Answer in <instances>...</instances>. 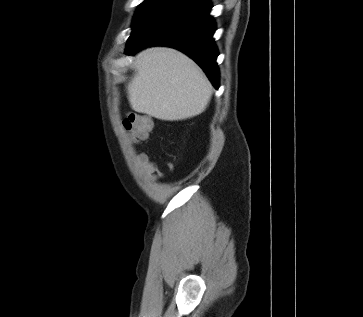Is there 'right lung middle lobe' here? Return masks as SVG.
I'll list each match as a JSON object with an SVG mask.
<instances>
[{
    "mask_svg": "<svg viewBox=\"0 0 363 317\" xmlns=\"http://www.w3.org/2000/svg\"><path fill=\"white\" fill-rule=\"evenodd\" d=\"M184 0H146L140 4L133 21L128 42L134 41L158 17Z\"/></svg>",
    "mask_w": 363,
    "mask_h": 317,
    "instance_id": "right-lung-middle-lobe-1",
    "label": "right lung middle lobe"
}]
</instances>
